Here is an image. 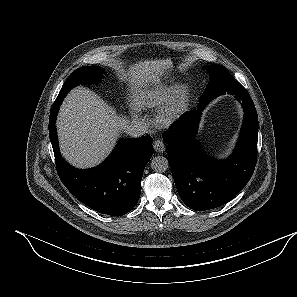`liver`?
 <instances>
[{
	"label": "liver",
	"mask_w": 297,
	"mask_h": 297,
	"mask_svg": "<svg viewBox=\"0 0 297 297\" xmlns=\"http://www.w3.org/2000/svg\"><path fill=\"white\" fill-rule=\"evenodd\" d=\"M170 65V60H145L131 64L125 72L137 90L147 81L158 83L163 69ZM128 123L94 92L75 88L66 96L57 118L61 154L74 167H93L109 154Z\"/></svg>",
	"instance_id": "obj_1"
}]
</instances>
